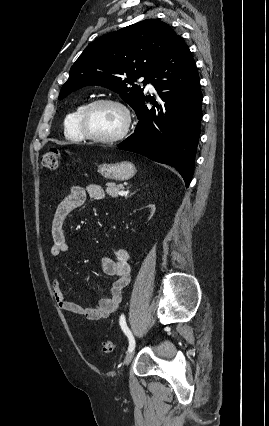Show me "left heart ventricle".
Wrapping results in <instances>:
<instances>
[{"label": "left heart ventricle", "mask_w": 269, "mask_h": 426, "mask_svg": "<svg viewBox=\"0 0 269 426\" xmlns=\"http://www.w3.org/2000/svg\"><path fill=\"white\" fill-rule=\"evenodd\" d=\"M122 112L111 105H97L91 109L87 124L89 130L98 136H112L123 126Z\"/></svg>", "instance_id": "left-heart-ventricle-1"}]
</instances>
